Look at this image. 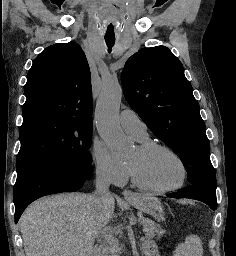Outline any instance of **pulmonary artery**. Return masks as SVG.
<instances>
[{
  "mask_svg": "<svg viewBox=\"0 0 236 256\" xmlns=\"http://www.w3.org/2000/svg\"><path fill=\"white\" fill-rule=\"evenodd\" d=\"M119 122L123 130L132 135L136 141L147 139V129L139 116L132 109H125L119 114Z\"/></svg>",
  "mask_w": 236,
  "mask_h": 256,
  "instance_id": "1",
  "label": "pulmonary artery"
}]
</instances>
